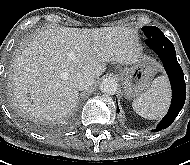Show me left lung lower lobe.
<instances>
[{
	"mask_svg": "<svg viewBox=\"0 0 190 165\" xmlns=\"http://www.w3.org/2000/svg\"><path fill=\"white\" fill-rule=\"evenodd\" d=\"M163 62L172 88V102L168 113L152 132H158L170 126L181 111L186 97V85L183 71L177 61L176 51L172 42L165 36H158L145 41ZM119 111V108H118Z\"/></svg>",
	"mask_w": 190,
	"mask_h": 165,
	"instance_id": "0a47b994",
	"label": "left lung lower lobe"
}]
</instances>
